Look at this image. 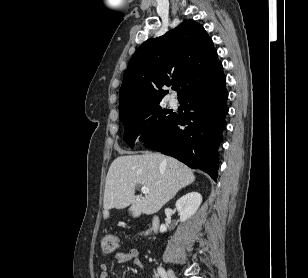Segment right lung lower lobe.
Masks as SVG:
<instances>
[{
  "label": "right lung lower lobe",
  "instance_id": "1",
  "mask_svg": "<svg viewBox=\"0 0 308 278\" xmlns=\"http://www.w3.org/2000/svg\"><path fill=\"white\" fill-rule=\"evenodd\" d=\"M228 92L226 77L187 93L180 99L184 118L175 115L169 125L144 146L175 157L187 166L201 169L216 181L218 173V145L226 126L225 115ZM181 129L180 126H185Z\"/></svg>",
  "mask_w": 308,
  "mask_h": 278
}]
</instances>
